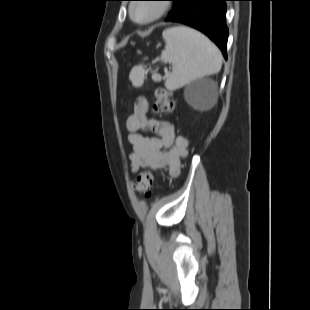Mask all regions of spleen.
<instances>
[{
	"mask_svg": "<svg viewBox=\"0 0 310 310\" xmlns=\"http://www.w3.org/2000/svg\"><path fill=\"white\" fill-rule=\"evenodd\" d=\"M162 36L166 45L159 59L173 65V70L165 82L169 91L220 71L221 52L199 31L186 26H176L166 29ZM144 76L143 66L138 65L132 69L129 77L132 84L139 87Z\"/></svg>",
	"mask_w": 310,
	"mask_h": 310,
	"instance_id": "1",
	"label": "spleen"
}]
</instances>
